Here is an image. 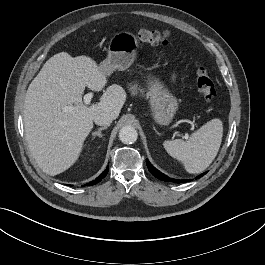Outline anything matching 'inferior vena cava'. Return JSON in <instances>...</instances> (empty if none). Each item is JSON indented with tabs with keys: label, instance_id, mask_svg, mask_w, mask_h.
Listing matches in <instances>:
<instances>
[{
	"label": "inferior vena cava",
	"instance_id": "inferior-vena-cava-1",
	"mask_svg": "<svg viewBox=\"0 0 265 265\" xmlns=\"http://www.w3.org/2000/svg\"><path fill=\"white\" fill-rule=\"evenodd\" d=\"M113 119H114L113 114L109 112H101L95 116L94 122L97 125L106 126L110 125Z\"/></svg>",
	"mask_w": 265,
	"mask_h": 265
}]
</instances>
